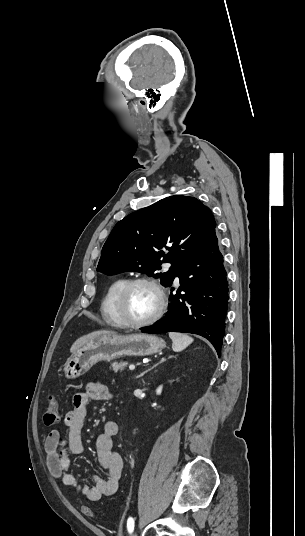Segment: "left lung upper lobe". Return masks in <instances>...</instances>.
<instances>
[{
  "instance_id": "left-lung-upper-lobe-1",
  "label": "left lung upper lobe",
  "mask_w": 305,
  "mask_h": 536,
  "mask_svg": "<svg viewBox=\"0 0 305 536\" xmlns=\"http://www.w3.org/2000/svg\"><path fill=\"white\" fill-rule=\"evenodd\" d=\"M215 226L210 209L198 199L167 197L115 225L103 246L97 271L107 275L137 271L160 278L167 286L181 264L209 239ZM162 263L172 266L159 272Z\"/></svg>"
}]
</instances>
